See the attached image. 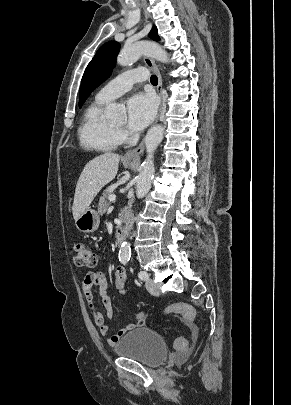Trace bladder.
<instances>
[{"label": "bladder", "instance_id": "bladder-1", "mask_svg": "<svg viewBox=\"0 0 291 405\" xmlns=\"http://www.w3.org/2000/svg\"><path fill=\"white\" fill-rule=\"evenodd\" d=\"M114 350L118 356L149 367L159 366L168 356V347L162 335L148 327L127 333L115 344Z\"/></svg>", "mask_w": 291, "mask_h": 405}]
</instances>
